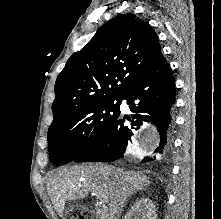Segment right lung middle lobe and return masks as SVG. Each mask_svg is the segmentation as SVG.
I'll list each match as a JSON object with an SVG mask.
<instances>
[{
    "mask_svg": "<svg viewBox=\"0 0 221 219\" xmlns=\"http://www.w3.org/2000/svg\"><path fill=\"white\" fill-rule=\"evenodd\" d=\"M121 99H105L82 105L52 122L48 130L49 160L74 161L90 150L120 115Z\"/></svg>",
    "mask_w": 221,
    "mask_h": 219,
    "instance_id": "right-lung-middle-lobe-1",
    "label": "right lung middle lobe"
}]
</instances>
